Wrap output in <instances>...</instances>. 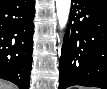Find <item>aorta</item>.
<instances>
[{
  "instance_id": "obj_1",
  "label": "aorta",
  "mask_w": 107,
  "mask_h": 89,
  "mask_svg": "<svg viewBox=\"0 0 107 89\" xmlns=\"http://www.w3.org/2000/svg\"><path fill=\"white\" fill-rule=\"evenodd\" d=\"M71 7V0H56V11L59 26L61 29L66 27Z\"/></svg>"
}]
</instances>
